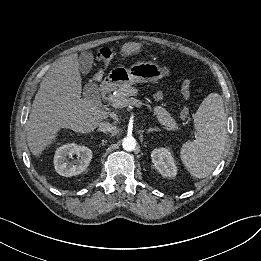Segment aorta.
Masks as SVG:
<instances>
[{
  "label": "aorta",
  "instance_id": "obj_1",
  "mask_svg": "<svg viewBox=\"0 0 261 261\" xmlns=\"http://www.w3.org/2000/svg\"><path fill=\"white\" fill-rule=\"evenodd\" d=\"M123 149L126 151H133L136 148V140L132 136H126L122 141Z\"/></svg>",
  "mask_w": 261,
  "mask_h": 261
}]
</instances>
